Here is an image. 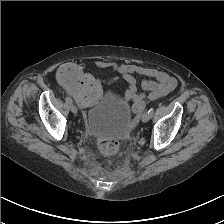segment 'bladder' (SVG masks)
<instances>
[{"label": "bladder", "mask_w": 224, "mask_h": 224, "mask_svg": "<svg viewBox=\"0 0 224 224\" xmlns=\"http://www.w3.org/2000/svg\"><path fill=\"white\" fill-rule=\"evenodd\" d=\"M86 120L89 130L95 135L123 137L129 130V103L108 91L97 105L88 110Z\"/></svg>", "instance_id": "1"}]
</instances>
